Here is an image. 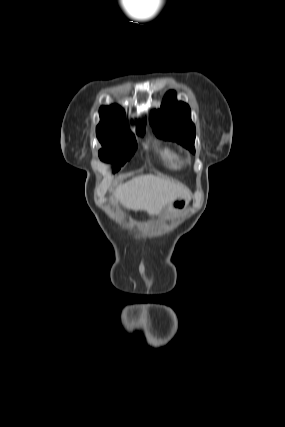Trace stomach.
I'll return each mask as SVG.
<instances>
[{
    "mask_svg": "<svg viewBox=\"0 0 285 427\" xmlns=\"http://www.w3.org/2000/svg\"><path fill=\"white\" fill-rule=\"evenodd\" d=\"M188 204H189V199H185V198L177 199L169 205V213L183 212L184 210H186Z\"/></svg>",
    "mask_w": 285,
    "mask_h": 427,
    "instance_id": "1",
    "label": "stomach"
}]
</instances>
